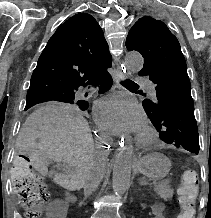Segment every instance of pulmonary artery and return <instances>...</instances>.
Here are the masks:
<instances>
[{
	"label": "pulmonary artery",
	"instance_id": "1",
	"mask_svg": "<svg viewBox=\"0 0 211 218\" xmlns=\"http://www.w3.org/2000/svg\"><path fill=\"white\" fill-rule=\"evenodd\" d=\"M135 85H143L146 95H159V90H157L156 84H150V80H144V75H134Z\"/></svg>",
	"mask_w": 211,
	"mask_h": 218
}]
</instances>
